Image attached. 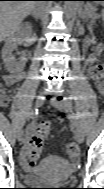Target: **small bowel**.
Returning <instances> with one entry per match:
<instances>
[{
    "mask_svg": "<svg viewBox=\"0 0 104 189\" xmlns=\"http://www.w3.org/2000/svg\"><path fill=\"white\" fill-rule=\"evenodd\" d=\"M95 66H89L88 70H89V74L92 78V80L95 82L96 88L98 90H102L103 89V85L102 82L100 80V78H97L94 74H93V69ZM24 77V73L22 71L19 72H15V73H10V74H6L3 76L2 80L5 86H11L13 84H15L16 82L20 81L21 79H23ZM1 105L6 106L9 102H10V98L6 93H3L0 99ZM33 136V127H29L28 129V133H27V137H26V142L22 148V153H21V157L22 159H25L27 156V151L29 149V143L30 140Z\"/></svg>",
    "mask_w": 104,
    "mask_h": 189,
    "instance_id": "c3829d8e",
    "label": "small bowel"
}]
</instances>
